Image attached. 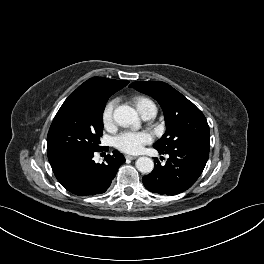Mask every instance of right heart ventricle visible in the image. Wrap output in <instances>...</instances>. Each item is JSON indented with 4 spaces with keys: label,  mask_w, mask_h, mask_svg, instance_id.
Returning <instances> with one entry per match:
<instances>
[{
    "label": "right heart ventricle",
    "mask_w": 264,
    "mask_h": 264,
    "mask_svg": "<svg viewBox=\"0 0 264 264\" xmlns=\"http://www.w3.org/2000/svg\"><path fill=\"white\" fill-rule=\"evenodd\" d=\"M133 102L141 115H143L150 108L155 107L154 103L145 96H135L133 98Z\"/></svg>",
    "instance_id": "1"
}]
</instances>
